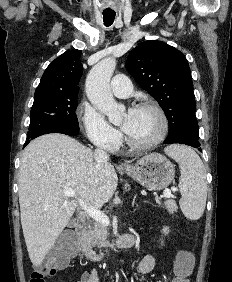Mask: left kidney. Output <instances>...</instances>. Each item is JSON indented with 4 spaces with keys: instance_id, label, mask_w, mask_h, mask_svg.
<instances>
[{
    "instance_id": "obj_1",
    "label": "left kidney",
    "mask_w": 232,
    "mask_h": 282,
    "mask_svg": "<svg viewBox=\"0 0 232 282\" xmlns=\"http://www.w3.org/2000/svg\"><path fill=\"white\" fill-rule=\"evenodd\" d=\"M163 233L164 234H168L169 233V228L168 227H164L163 228ZM163 243V242H162Z\"/></svg>"
}]
</instances>
